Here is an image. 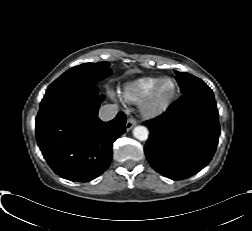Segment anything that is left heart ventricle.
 Returning a JSON list of instances; mask_svg holds the SVG:
<instances>
[{
    "label": "left heart ventricle",
    "mask_w": 252,
    "mask_h": 231,
    "mask_svg": "<svg viewBox=\"0 0 252 231\" xmlns=\"http://www.w3.org/2000/svg\"><path fill=\"white\" fill-rule=\"evenodd\" d=\"M172 90V84L170 82H166L163 84L161 89V97L166 98Z\"/></svg>",
    "instance_id": "obj_1"
}]
</instances>
